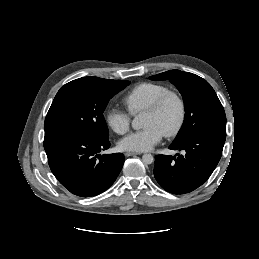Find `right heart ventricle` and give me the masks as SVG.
Returning a JSON list of instances; mask_svg holds the SVG:
<instances>
[{
  "label": "right heart ventricle",
  "mask_w": 259,
  "mask_h": 259,
  "mask_svg": "<svg viewBox=\"0 0 259 259\" xmlns=\"http://www.w3.org/2000/svg\"><path fill=\"white\" fill-rule=\"evenodd\" d=\"M168 88L159 83L143 82L136 85L124 98L129 111L136 114L147 110Z\"/></svg>",
  "instance_id": "right-heart-ventricle-1"
}]
</instances>
